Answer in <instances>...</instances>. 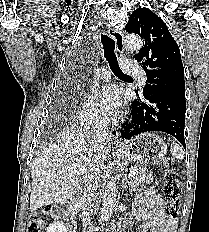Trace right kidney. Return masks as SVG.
I'll return each mask as SVG.
<instances>
[{"label":"right kidney","mask_w":209,"mask_h":232,"mask_svg":"<svg viewBox=\"0 0 209 232\" xmlns=\"http://www.w3.org/2000/svg\"><path fill=\"white\" fill-rule=\"evenodd\" d=\"M47 232H67V227L60 222H54L49 225Z\"/></svg>","instance_id":"right-kidney-1"}]
</instances>
